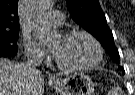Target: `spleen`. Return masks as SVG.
Wrapping results in <instances>:
<instances>
[{
  "instance_id": "spleen-1",
  "label": "spleen",
  "mask_w": 135,
  "mask_h": 95,
  "mask_svg": "<svg viewBox=\"0 0 135 95\" xmlns=\"http://www.w3.org/2000/svg\"><path fill=\"white\" fill-rule=\"evenodd\" d=\"M108 95H124L122 89L119 86H114L109 92Z\"/></svg>"
}]
</instances>
